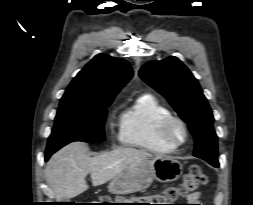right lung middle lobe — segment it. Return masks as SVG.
<instances>
[{
    "label": "right lung middle lobe",
    "instance_id": "1",
    "mask_svg": "<svg viewBox=\"0 0 253 205\" xmlns=\"http://www.w3.org/2000/svg\"><path fill=\"white\" fill-rule=\"evenodd\" d=\"M112 101L113 99L98 104H60L46 152H55L73 141H104L106 107Z\"/></svg>",
    "mask_w": 253,
    "mask_h": 205
}]
</instances>
